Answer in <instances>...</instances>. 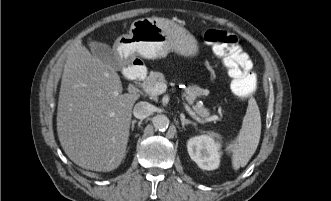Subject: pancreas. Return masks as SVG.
<instances>
[{"label":"pancreas","mask_w":331,"mask_h":201,"mask_svg":"<svg viewBox=\"0 0 331 201\" xmlns=\"http://www.w3.org/2000/svg\"><path fill=\"white\" fill-rule=\"evenodd\" d=\"M158 82H166L164 75L160 72H150L149 76L142 83V87L145 92L154 100L157 99V94H153L150 90ZM208 93V90L202 89L197 85H192L185 89V96L190 104H193L198 97L207 95ZM193 109L195 113L203 120L208 121L210 118V112L203 106V104L197 103L193 105Z\"/></svg>","instance_id":"pancreas-1"}]
</instances>
